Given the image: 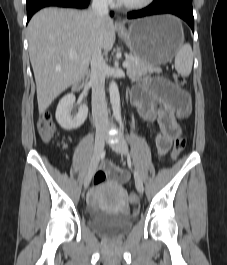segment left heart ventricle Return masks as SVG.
<instances>
[{"label":"left heart ventricle","mask_w":227,"mask_h":265,"mask_svg":"<svg viewBox=\"0 0 227 265\" xmlns=\"http://www.w3.org/2000/svg\"><path fill=\"white\" fill-rule=\"evenodd\" d=\"M122 1L125 3H128V4H135V3H139L143 0H122Z\"/></svg>","instance_id":"1"}]
</instances>
